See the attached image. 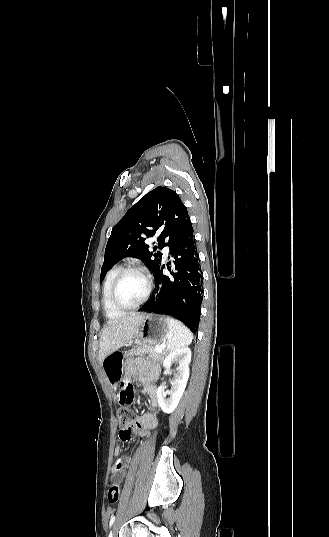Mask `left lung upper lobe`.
<instances>
[{
    "mask_svg": "<svg viewBox=\"0 0 329 537\" xmlns=\"http://www.w3.org/2000/svg\"><path fill=\"white\" fill-rule=\"evenodd\" d=\"M189 224L187 208L175 191L158 186L148 192L113 227L105 249L100 281L123 257L144 261L154 273L162 258V254L155 250L164 246L171 248ZM154 236H158V246L150 251L144 243L145 237Z\"/></svg>",
    "mask_w": 329,
    "mask_h": 537,
    "instance_id": "5c2ea615",
    "label": "left lung upper lobe"
}]
</instances>
